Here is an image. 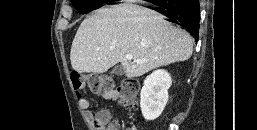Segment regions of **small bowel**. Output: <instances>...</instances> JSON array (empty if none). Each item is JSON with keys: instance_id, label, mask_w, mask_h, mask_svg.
<instances>
[{"instance_id": "small-bowel-1", "label": "small bowel", "mask_w": 257, "mask_h": 130, "mask_svg": "<svg viewBox=\"0 0 257 130\" xmlns=\"http://www.w3.org/2000/svg\"><path fill=\"white\" fill-rule=\"evenodd\" d=\"M108 97V96H106ZM79 106L82 110L85 111L86 117L91 120L92 119V114L89 111V102L86 98H80L79 99ZM97 118H100L102 121L105 123H109L111 121V114L108 110H102L97 113L96 115ZM106 129L103 130H111L110 127H105Z\"/></svg>"}]
</instances>
